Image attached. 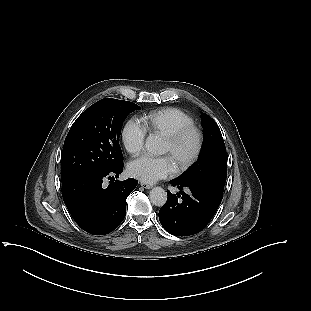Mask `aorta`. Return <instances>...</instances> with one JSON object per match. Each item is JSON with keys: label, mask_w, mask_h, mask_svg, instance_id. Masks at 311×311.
<instances>
[{"label": "aorta", "mask_w": 311, "mask_h": 311, "mask_svg": "<svg viewBox=\"0 0 311 311\" xmlns=\"http://www.w3.org/2000/svg\"><path fill=\"white\" fill-rule=\"evenodd\" d=\"M145 149L153 155L163 154L162 141L159 137L150 135L146 138ZM150 201L157 207H162L167 201V193L162 187H154L150 191Z\"/></svg>", "instance_id": "1"}]
</instances>
